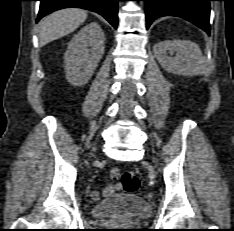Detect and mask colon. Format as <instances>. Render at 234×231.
<instances>
[{"instance_id": "5ec220e1", "label": "colon", "mask_w": 234, "mask_h": 231, "mask_svg": "<svg viewBox=\"0 0 234 231\" xmlns=\"http://www.w3.org/2000/svg\"><path fill=\"white\" fill-rule=\"evenodd\" d=\"M111 177L119 179L123 190L127 193H134L140 187V180L133 171L120 172L118 169H112Z\"/></svg>"}]
</instances>
